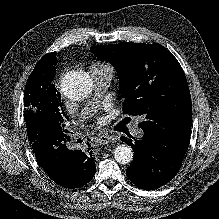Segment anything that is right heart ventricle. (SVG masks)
I'll return each mask as SVG.
<instances>
[{
    "label": "right heart ventricle",
    "mask_w": 219,
    "mask_h": 219,
    "mask_svg": "<svg viewBox=\"0 0 219 219\" xmlns=\"http://www.w3.org/2000/svg\"><path fill=\"white\" fill-rule=\"evenodd\" d=\"M101 68H109V66L105 63H101V62H94L91 66H90V71L91 70H96V69H101Z\"/></svg>",
    "instance_id": "1"
}]
</instances>
